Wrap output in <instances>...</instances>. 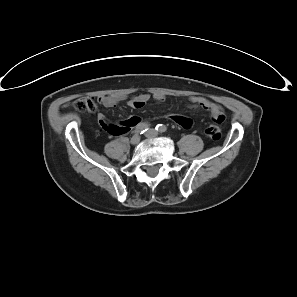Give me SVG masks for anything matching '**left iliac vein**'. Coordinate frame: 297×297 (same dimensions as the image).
<instances>
[{
	"mask_svg": "<svg viewBox=\"0 0 297 297\" xmlns=\"http://www.w3.org/2000/svg\"><path fill=\"white\" fill-rule=\"evenodd\" d=\"M145 136L148 138H154L157 136V132L153 129H150L145 133Z\"/></svg>",
	"mask_w": 297,
	"mask_h": 297,
	"instance_id": "1",
	"label": "left iliac vein"
}]
</instances>
